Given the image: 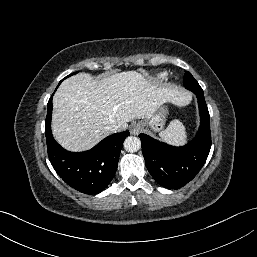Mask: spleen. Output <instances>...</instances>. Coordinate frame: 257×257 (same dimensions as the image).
Segmentation results:
<instances>
[{"instance_id":"3e777b00","label":"spleen","mask_w":257,"mask_h":257,"mask_svg":"<svg viewBox=\"0 0 257 257\" xmlns=\"http://www.w3.org/2000/svg\"><path fill=\"white\" fill-rule=\"evenodd\" d=\"M159 136L164 142L172 145L179 146L187 142L186 128L179 120L172 121Z\"/></svg>"}]
</instances>
